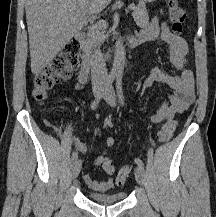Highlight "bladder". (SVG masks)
<instances>
[{
	"mask_svg": "<svg viewBox=\"0 0 216 217\" xmlns=\"http://www.w3.org/2000/svg\"><path fill=\"white\" fill-rule=\"evenodd\" d=\"M88 197L94 203L115 204V203L122 202L126 198V193L120 191L108 192V193L89 191Z\"/></svg>",
	"mask_w": 216,
	"mask_h": 217,
	"instance_id": "obj_1",
	"label": "bladder"
}]
</instances>
